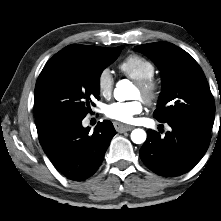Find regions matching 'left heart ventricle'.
<instances>
[{"label":"left heart ventricle","mask_w":221,"mask_h":221,"mask_svg":"<svg viewBox=\"0 0 221 221\" xmlns=\"http://www.w3.org/2000/svg\"><path fill=\"white\" fill-rule=\"evenodd\" d=\"M134 96H135V97L140 96V93H139V90H138V88H137V87L135 88V91H134Z\"/></svg>","instance_id":"b2bd125f"}]
</instances>
